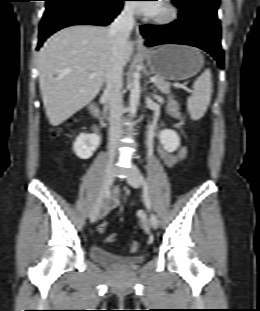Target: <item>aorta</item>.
<instances>
[{
    "instance_id": "aorta-1",
    "label": "aorta",
    "mask_w": 260,
    "mask_h": 311,
    "mask_svg": "<svg viewBox=\"0 0 260 311\" xmlns=\"http://www.w3.org/2000/svg\"><path fill=\"white\" fill-rule=\"evenodd\" d=\"M129 111L133 116L136 113L140 101V73L135 71L131 81Z\"/></svg>"
}]
</instances>
